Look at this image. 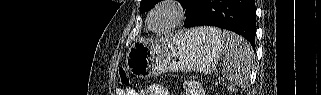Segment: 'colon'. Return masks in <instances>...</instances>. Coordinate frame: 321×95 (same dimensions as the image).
I'll use <instances>...</instances> for the list:
<instances>
[{
    "mask_svg": "<svg viewBox=\"0 0 321 95\" xmlns=\"http://www.w3.org/2000/svg\"><path fill=\"white\" fill-rule=\"evenodd\" d=\"M117 77L121 85L128 86L131 82L129 71L124 67H119L117 70Z\"/></svg>",
    "mask_w": 321,
    "mask_h": 95,
    "instance_id": "5ec220e1",
    "label": "colon"
}]
</instances>
